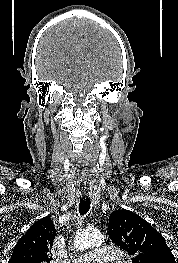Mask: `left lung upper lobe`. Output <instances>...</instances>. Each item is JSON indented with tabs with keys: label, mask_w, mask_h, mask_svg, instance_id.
<instances>
[{
	"label": "left lung upper lobe",
	"mask_w": 178,
	"mask_h": 263,
	"mask_svg": "<svg viewBox=\"0 0 178 263\" xmlns=\"http://www.w3.org/2000/svg\"><path fill=\"white\" fill-rule=\"evenodd\" d=\"M109 238L132 257V263H176L164 237L147 221L129 210L109 217Z\"/></svg>",
	"instance_id": "left-lung-upper-lobe-1"
}]
</instances>
